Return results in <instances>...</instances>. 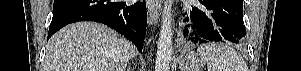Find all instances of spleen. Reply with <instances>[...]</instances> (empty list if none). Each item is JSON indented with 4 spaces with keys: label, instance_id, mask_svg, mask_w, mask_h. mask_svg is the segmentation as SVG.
<instances>
[{
    "label": "spleen",
    "instance_id": "1",
    "mask_svg": "<svg viewBox=\"0 0 301 71\" xmlns=\"http://www.w3.org/2000/svg\"><path fill=\"white\" fill-rule=\"evenodd\" d=\"M197 53L207 62L208 71H248L243 57L228 45L204 44L197 49Z\"/></svg>",
    "mask_w": 301,
    "mask_h": 71
}]
</instances>
